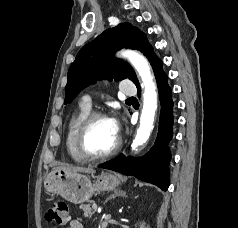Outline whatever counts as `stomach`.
Masks as SVG:
<instances>
[{
    "label": "stomach",
    "instance_id": "0dacf381",
    "mask_svg": "<svg viewBox=\"0 0 238 228\" xmlns=\"http://www.w3.org/2000/svg\"><path fill=\"white\" fill-rule=\"evenodd\" d=\"M120 181V177L111 172H102L92 182L87 175L54 169L44 180V188L47 192L58 194L71 203L81 204L96 192L115 189Z\"/></svg>",
    "mask_w": 238,
    "mask_h": 228
}]
</instances>
